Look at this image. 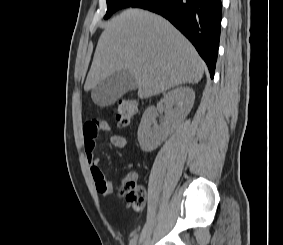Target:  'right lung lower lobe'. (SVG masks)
Wrapping results in <instances>:
<instances>
[{
	"label": "right lung lower lobe",
	"mask_w": 283,
	"mask_h": 245,
	"mask_svg": "<svg viewBox=\"0 0 283 245\" xmlns=\"http://www.w3.org/2000/svg\"><path fill=\"white\" fill-rule=\"evenodd\" d=\"M131 7L147 9L168 19L192 42L213 78L220 38L221 0H140Z\"/></svg>",
	"instance_id": "right-lung-lower-lobe-1"
}]
</instances>
